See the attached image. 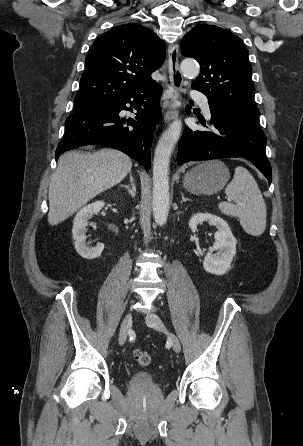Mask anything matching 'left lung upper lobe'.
Returning <instances> with one entry per match:
<instances>
[{
  "mask_svg": "<svg viewBox=\"0 0 303 446\" xmlns=\"http://www.w3.org/2000/svg\"><path fill=\"white\" fill-rule=\"evenodd\" d=\"M181 52L201 64V73L192 85L194 89L261 129L259 110L251 98L252 67L248 51L236 35L217 26L198 25L182 39Z\"/></svg>",
  "mask_w": 303,
  "mask_h": 446,
  "instance_id": "1",
  "label": "left lung upper lobe"
}]
</instances>
